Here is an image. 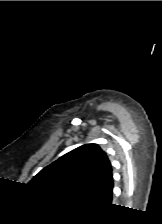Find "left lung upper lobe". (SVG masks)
Segmentation results:
<instances>
[{
	"instance_id": "5c2ea615",
	"label": "left lung upper lobe",
	"mask_w": 162,
	"mask_h": 224,
	"mask_svg": "<svg viewBox=\"0 0 162 224\" xmlns=\"http://www.w3.org/2000/svg\"><path fill=\"white\" fill-rule=\"evenodd\" d=\"M111 176L105 152L97 144H85L42 169L29 184L55 196L86 199Z\"/></svg>"
}]
</instances>
